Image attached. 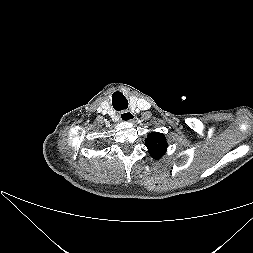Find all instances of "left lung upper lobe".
<instances>
[{"mask_svg": "<svg viewBox=\"0 0 253 253\" xmlns=\"http://www.w3.org/2000/svg\"><path fill=\"white\" fill-rule=\"evenodd\" d=\"M145 142L148 152L154 159H160L168 147L165 136L159 132L148 134Z\"/></svg>", "mask_w": 253, "mask_h": 253, "instance_id": "obj_1", "label": "left lung upper lobe"}]
</instances>
